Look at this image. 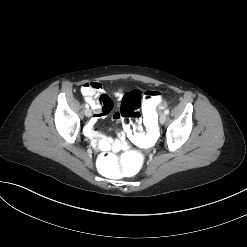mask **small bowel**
Segmentation results:
<instances>
[{
    "instance_id": "obj_1",
    "label": "small bowel",
    "mask_w": 247,
    "mask_h": 247,
    "mask_svg": "<svg viewBox=\"0 0 247 247\" xmlns=\"http://www.w3.org/2000/svg\"><path fill=\"white\" fill-rule=\"evenodd\" d=\"M81 93L84 99L94 110L93 119L85 127V133L90 138L92 144L102 151H119L125 149L128 146L127 137L128 130L124 128L119 137L115 140L103 135L101 132L95 129V125L98 120L104 119L112 110L113 103L110 97L103 91L102 85L99 82H88L81 87ZM117 98L122 97V92L115 93ZM114 118H120V113L116 112Z\"/></svg>"
}]
</instances>
